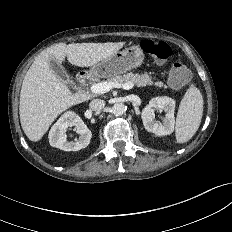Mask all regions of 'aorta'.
Returning <instances> with one entry per match:
<instances>
[{
	"label": "aorta",
	"instance_id": "aorta-1",
	"mask_svg": "<svg viewBox=\"0 0 232 232\" xmlns=\"http://www.w3.org/2000/svg\"><path fill=\"white\" fill-rule=\"evenodd\" d=\"M126 111V107L123 103H115L113 106H112V113L115 115V116H121L125 113Z\"/></svg>",
	"mask_w": 232,
	"mask_h": 232
}]
</instances>
